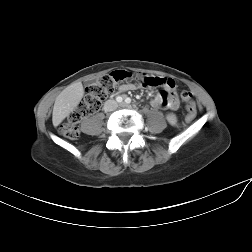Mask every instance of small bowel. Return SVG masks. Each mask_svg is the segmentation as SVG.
I'll use <instances>...</instances> for the list:
<instances>
[{
	"instance_id": "1",
	"label": "small bowel",
	"mask_w": 252,
	"mask_h": 252,
	"mask_svg": "<svg viewBox=\"0 0 252 252\" xmlns=\"http://www.w3.org/2000/svg\"><path fill=\"white\" fill-rule=\"evenodd\" d=\"M151 82L156 84L154 87H160L163 92L156 96L151 101V106L156 109L168 108L175 110L179 106V100L176 94V82L172 78H161V77H147ZM136 88L133 84H127L122 90H134Z\"/></svg>"
}]
</instances>
